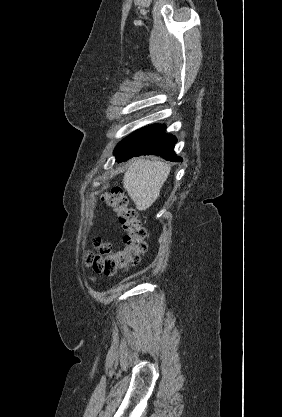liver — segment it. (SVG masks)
<instances>
[{
    "instance_id": "1",
    "label": "liver",
    "mask_w": 282,
    "mask_h": 417,
    "mask_svg": "<svg viewBox=\"0 0 282 417\" xmlns=\"http://www.w3.org/2000/svg\"><path fill=\"white\" fill-rule=\"evenodd\" d=\"M171 166L162 160L136 158L123 176V186L138 211H146L157 200Z\"/></svg>"
}]
</instances>
